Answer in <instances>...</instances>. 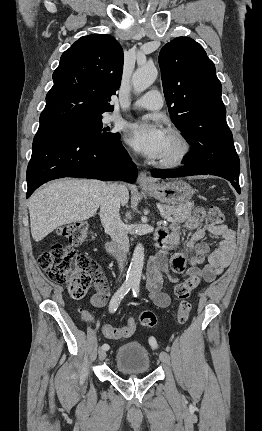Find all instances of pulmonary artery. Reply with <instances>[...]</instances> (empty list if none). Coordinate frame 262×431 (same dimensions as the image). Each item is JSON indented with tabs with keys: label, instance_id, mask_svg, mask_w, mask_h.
Masks as SVG:
<instances>
[{
	"label": "pulmonary artery",
	"instance_id": "pulmonary-artery-1",
	"mask_svg": "<svg viewBox=\"0 0 262 431\" xmlns=\"http://www.w3.org/2000/svg\"><path fill=\"white\" fill-rule=\"evenodd\" d=\"M163 106V98L156 90H151L140 97L133 104L134 108L146 110H159Z\"/></svg>",
	"mask_w": 262,
	"mask_h": 431
}]
</instances>
